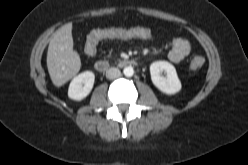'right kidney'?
Wrapping results in <instances>:
<instances>
[{
	"label": "right kidney",
	"mask_w": 248,
	"mask_h": 165,
	"mask_svg": "<svg viewBox=\"0 0 248 165\" xmlns=\"http://www.w3.org/2000/svg\"><path fill=\"white\" fill-rule=\"evenodd\" d=\"M95 81V75L91 71H84L73 78L69 85L68 96L80 101L89 95Z\"/></svg>",
	"instance_id": "1"
}]
</instances>
